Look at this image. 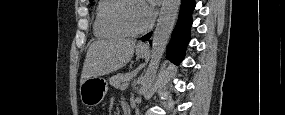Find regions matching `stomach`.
I'll use <instances>...</instances> for the list:
<instances>
[{"mask_svg":"<svg viewBox=\"0 0 285 115\" xmlns=\"http://www.w3.org/2000/svg\"><path fill=\"white\" fill-rule=\"evenodd\" d=\"M138 57H144L146 50L136 49ZM108 90L107 82L101 77H91L80 84V97L87 107H95L102 102Z\"/></svg>","mask_w":285,"mask_h":115,"instance_id":"obj_1","label":"stomach"}]
</instances>
